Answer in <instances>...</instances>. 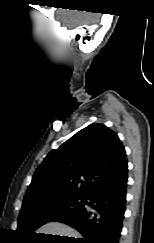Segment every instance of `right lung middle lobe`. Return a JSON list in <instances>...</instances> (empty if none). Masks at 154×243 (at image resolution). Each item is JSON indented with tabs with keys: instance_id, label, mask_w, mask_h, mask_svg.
Listing matches in <instances>:
<instances>
[{
	"instance_id": "right-lung-middle-lobe-1",
	"label": "right lung middle lobe",
	"mask_w": 154,
	"mask_h": 243,
	"mask_svg": "<svg viewBox=\"0 0 154 243\" xmlns=\"http://www.w3.org/2000/svg\"><path fill=\"white\" fill-rule=\"evenodd\" d=\"M85 197L62 195L22 206L19 214V234L29 237L41 225L57 217L79 210L84 206Z\"/></svg>"
}]
</instances>
